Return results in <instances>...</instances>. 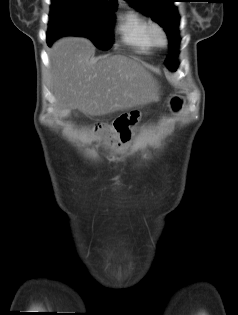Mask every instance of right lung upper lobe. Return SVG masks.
Wrapping results in <instances>:
<instances>
[{
  "instance_id": "right-lung-upper-lobe-1",
  "label": "right lung upper lobe",
  "mask_w": 238,
  "mask_h": 315,
  "mask_svg": "<svg viewBox=\"0 0 238 315\" xmlns=\"http://www.w3.org/2000/svg\"><path fill=\"white\" fill-rule=\"evenodd\" d=\"M86 1H91L94 2L96 4L102 5V6H106V7H115L117 6V1H111V2H105L103 0H86Z\"/></svg>"
}]
</instances>
